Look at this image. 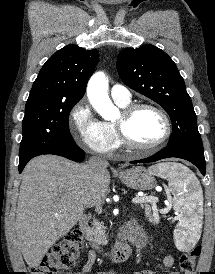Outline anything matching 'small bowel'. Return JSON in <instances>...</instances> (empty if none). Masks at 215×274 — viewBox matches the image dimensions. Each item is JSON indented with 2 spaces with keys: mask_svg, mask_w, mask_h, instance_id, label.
Wrapping results in <instances>:
<instances>
[{
  "mask_svg": "<svg viewBox=\"0 0 215 274\" xmlns=\"http://www.w3.org/2000/svg\"><path fill=\"white\" fill-rule=\"evenodd\" d=\"M96 261V253L94 250H89L87 255V261L82 267L81 271L74 273V274H89L92 270V267ZM174 257L172 255H166L163 258V266L166 269H171L174 265ZM97 274H116L114 271H104L98 272ZM133 274H154L151 270H144L139 272H134ZM169 274H178V272H170Z\"/></svg>",
  "mask_w": 215,
  "mask_h": 274,
  "instance_id": "1",
  "label": "small bowel"
}]
</instances>
